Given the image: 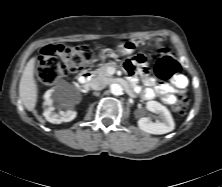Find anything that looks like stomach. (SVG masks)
Here are the masks:
<instances>
[{
	"mask_svg": "<svg viewBox=\"0 0 222 187\" xmlns=\"http://www.w3.org/2000/svg\"><path fill=\"white\" fill-rule=\"evenodd\" d=\"M153 43L159 44L161 42L160 38H154L151 40ZM138 47V42L135 40H128L123 42L122 44L119 45L118 47V52L122 55H130L132 54ZM102 58H107L109 57V54L107 53H102L101 54Z\"/></svg>",
	"mask_w": 222,
	"mask_h": 187,
	"instance_id": "1",
	"label": "stomach"
}]
</instances>
